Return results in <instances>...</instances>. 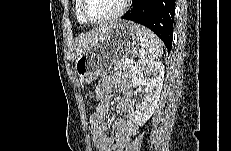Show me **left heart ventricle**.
<instances>
[{
	"label": "left heart ventricle",
	"mask_w": 231,
	"mask_h": 151,
	"mask_svg": "<svg viewBox=\"0 0 231 151\" xmlns=\"http://www.w3.org/2000/svg\"><path fill=\"white\" fill-rule=\"evenodd\" d=\"M124 0H86V14L92 19H100L116 13Z\"/></svg>",
	"instance_id": "b2bd125f"
}]
</instances>
